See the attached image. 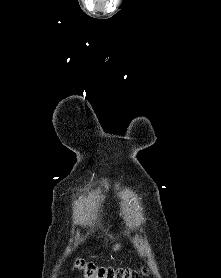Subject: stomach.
<instances>
[{"instance_id": "0dacf381", "label": "stomach", "mask_w": 221, "mask_h": 278, "mask_svg": "<svg viewBox=\"0 0 221 278\" xmlns=\"http://www.w3.org/2000/svg\"><path fill=\"white\" fill-rule=\"evenodd\" d=\"M120 249H121V246H120V244H118V243H116V244H114V245L112 246V250H113L114 252H118V251H120Z\"/></svg>"}]
</instances>
